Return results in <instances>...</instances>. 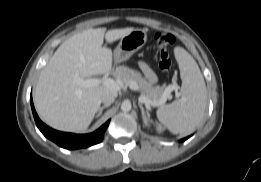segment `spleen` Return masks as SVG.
<instances>
[{
    "label": "spleen",
    "instance_id": "spleen-1",
    "mask_svg": "<svg viewBox=\"0 0 261 182\" xmlns=\"http://www.w3.org/2000/svg\"><path fill=\"white\" fill-rule=\"evenodd\" d=\"M182 86L180 99L157 110L159 121L172 133L187 135L204 116L207 105L206 84L198 64L183 48H175Z\"/></svg>",
    "mask_w": 261,
    "mask_h": 182
}]
</instances>
